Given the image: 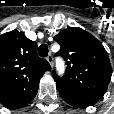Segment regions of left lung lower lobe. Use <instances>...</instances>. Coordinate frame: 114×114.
I'll return each mask as SVG.
<instances>
[{
    "instance_id": "0a47b994",
    "label": "left lung lower lobe",
    "mask_w": 114,
    "mask_h": 114,
    "mask_svg": "<svg viewBox=\"0 0 114 114\" xmlns=\"http://www.w3.org/2000/svg\"><path fill=\"white\" fill-rule=\"evenodd\" d=\"M57 90L59 91V94L64 101H66L68 104L77 108H86L98 101V99H95L89 96H84L81 94L73 93V92L58 89V88Z\"/></svg>"
}]
</instances>
